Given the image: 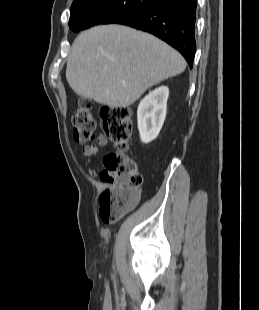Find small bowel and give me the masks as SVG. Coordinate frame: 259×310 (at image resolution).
Returning <instances> with one entry per match:
<instances>
[{
    "mask_svg": "<svg viewBox=\"0 0 259 310\" xmlns=\"http://www.w3.org/2000/svg\"><path fill=\"white\" fill-rule=\"evenodd\" d=\"M107 144L108 140L104 136H99L95 144L87 145L82 149V155L88 161V174L93 178L97 176V171L91 164V159L98 153L101 147Z\"/></svg>",
    "mask_w": 259,
    "mask_h": 310,
    "instance_id": "1",
    "label": "small bowel"
}]
</instances>
